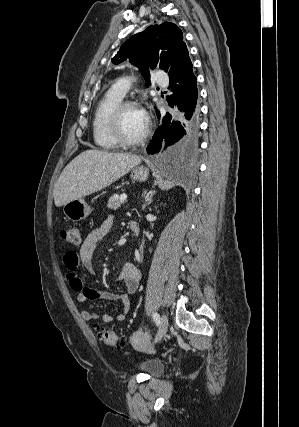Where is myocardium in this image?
<instances>
[{
	"label": "myocardium",
	"mask_w": 299,
	"mask_h": 427,
	"mask_svg": "<svg viewBox=\"0 0 299 427\" xmlns=\"http://www.w3.org/2000/svg\"><path fill=\"white\" fill-rule=\"evenodd\" d=\"M126 108H136L138 105L134 101L122 100L111 111L108 117V132L113 141L122 147H132L143 143L150 133L149 124H146L144 132L134 139L126 138L121 131V115Z\"/></svg>",
	"instance_id": "f54148a6"
}]
</instances>
